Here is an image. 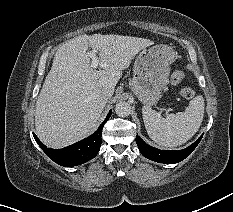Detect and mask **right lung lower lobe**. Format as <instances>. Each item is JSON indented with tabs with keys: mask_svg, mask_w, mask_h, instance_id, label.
Masks as SVG:
<instances>
[{
	"mask_svg": "<svg viewBox=\"0 0 233 212\" xmlns=\"http://www.w3.org/2000/svg\"><path fill=\"white\" fill-rule=\"evenodd\" d=\"M111 112L112 110L91 136L62 149L47 148L34 133L33 136L45 154L54 162L65 167L77 166L91 160L99 152L103 126L110 118Z\"/></svg>",
	"mask_w": 233,
	"mask_h": 212,
	"instance_id": "right-lung-lower-lobe-1",
	"label": "right lung lower lobe"
}]
</instances>
